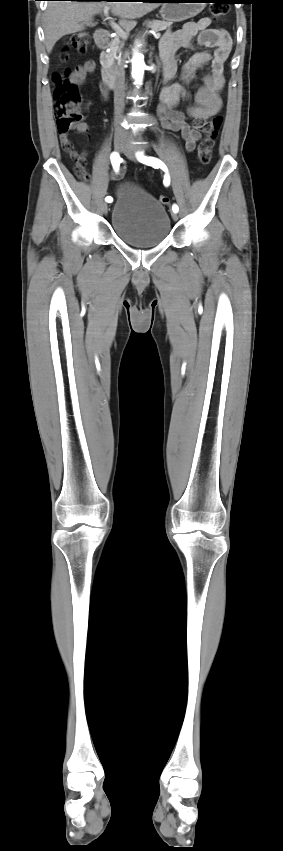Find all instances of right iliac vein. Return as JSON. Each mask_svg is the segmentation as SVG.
Instances as JSON below:
<instances>
[{
  "instance_id": "1",
  "label": "right iliac vein",
  "mask_w": 283,
  "mask_h": 851,
  "mask_svg": "<svg viewBox=\"0 0 283 851\" xmlns=\"http://www.w3.org/2000/svg\"><path fill=\"white\" fill-rule=\"evenodd\" d=\"M114 145H115V149H116L118 152H124V150H125V145H124V143H123V141H122V140H120V139H116V140H115ZM102 210H103L104 214H107V212H108V205H107V203H106V202H104V203L102 204Z\"/></svg>"
}]
</instances>
